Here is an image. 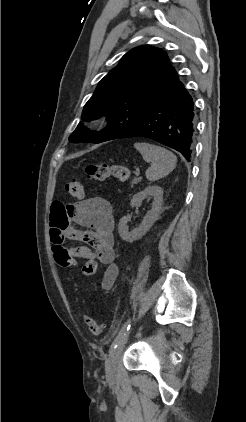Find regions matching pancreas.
<instances>
[{
	"instance_id": "pancreas-1",
	"label": "pancreas",
	"mask_w": 246,
	"mask_h": 422,
	"mask_svg": "<svg viewBox=\"0 0 246 422\" xmlns=\"http://www.w3.org/2000/svg\"><path fill=\"white\" fill-rule=\"evenodd\" d=\"M141 180V178H135L133 181H132V185L133 184H137L139 181Z\"/></svg>"
}]
</instances>
